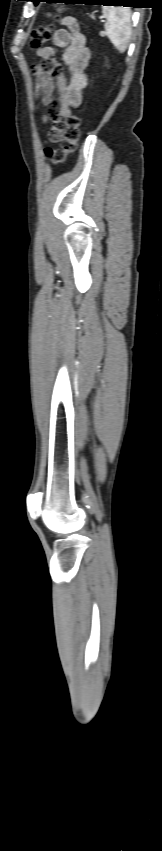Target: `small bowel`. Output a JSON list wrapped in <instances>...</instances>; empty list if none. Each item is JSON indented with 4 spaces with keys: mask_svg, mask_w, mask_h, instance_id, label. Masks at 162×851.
Listing matches in <instances>:
<instances>
[{
    "mask_svg": "<svg viewBox=\"0 0 162 851\" xmlns=\"http://www.w3.org/2000/svg\"><path fill=\"white\" fill-rule=\"evenodd\" d=\"M61 24L63 27L54 32L51 45L37 50V56L44 61L33 68L36 95L46 109L43 119L57 123L61 118L68 117L72 108L81 104V93L87 84L85 69L90 60V51L77 20L65 17ZM58 48H64L62 61L67 66L68 75L60 73L55 60ZM55 89L58 93L57 100L53 97ZM53 129L48 137L52 143L58 141L52 133Z\"/></svg>",
    "mask_w": 162,
    "mask_h": 851,
    "instance_id": "small-bowel-1",
    "label": "small bowel"
}]
</instances>
